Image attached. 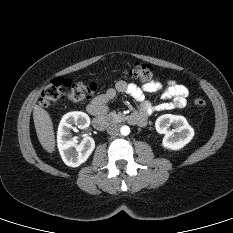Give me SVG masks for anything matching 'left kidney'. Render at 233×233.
Here are the masks:
<instances>
[{"mask_svg":"<svg viewBox=\"0 0 233 233\" xmlns=\"http://www.w3.org/2000/svg\"><path fill=\"white\" fill-rule=\"evenodd\" d=\"M173 125L174 129L170 126ZM156 131L164 134L162 145L169 150H179L194 137V129L183 116L164 114L155 122Z\"/></svg>","mask_w":233,"mask_h":233,"instance_id":"obj_1","label":"left kidney"}]
</instances>
